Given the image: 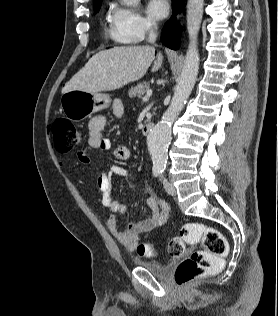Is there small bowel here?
Returning a JSON list of instances; mask_svg holds the SVG:
<instances>
[{
    "label": "small bowel",
    "instance_id": "obj_1",
    "mask_svg": "<svg viewBox=\"0 0 278 316\" xmlns=\"http://www.w3.org/2000/svg\"><path fill=\"white\" fill-rule=\"evenodd\" d=\"M112 111L115 117L121 119L124 114L123 103L118 99L114 100ZM106 125L107 119L103 115L94 116L89 121L87 148L78 152V158L96 171V182L101 193V202L110 213L106 220L107 229L125 249L133 252L138 249L139 237L142 233L153 231L166 224L169 208L164 200L160 199L152 190H148L146 203L151 210V215L140 221L129 222L124 230L118 228L116 214H124L128 206L111 196V179L113 176L133 179V175L120 165H113L108 172L101 171L98 160L89 152L94 150L107 151L111 148L110 140L103 135ZM113 155L119 161H126L130 158L131 153L127 146L118 145L115 147Z\"/></svg>",
    "mask_w": 278,
    "mask_h": 316
}]
</instances>
